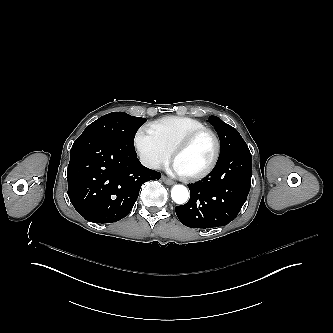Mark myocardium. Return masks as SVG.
<instances>
[{
    "label": "myocardium",
    "instance_id": "1",
    "mask_svg": "<svg viewBox=\"0 0 333 333\" xmlns=\"http://www.w3.org/2000/svg\"><path fill=\"white\" fill-rule=\"evenodd\" d=\"M204 133L210 134L214 140V144H215L214 155H213L212 159L210 160V162L204 168H202L201 170H199L193 174L184 175L183 179L186 181H195V180L201 179V178L205 177L206 175H208L215 168V166L220 158V153H221V143H220V140H219L217 134L209 128H200V129L193 130L190 133L186 134L184 137H182L172 147V149L170 151L169 161H171L172 158L176 154H178L179 152H181L182 150L187 148L198 136H200L201 134H204Z\"/></svg>",
    "mask_w": 333,
    "mask_h": 333
}]
</instances>
